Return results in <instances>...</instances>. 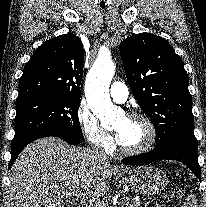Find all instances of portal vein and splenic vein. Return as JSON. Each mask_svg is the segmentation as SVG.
<instances>
[{
	"label": "portal vein and splenic vein",
	"mask_w": 206,
	"mask_h": 207,
	"mask_svg": "<svg viewBox=\"0 0 206 207\" xmlns=\"http://www.w3.org/2000/svg\"><path fill=\"white\" fill-rule=\"evenodd\" d=\"M64 194H65L66 197H71L74 200H79L81 202L84 200V197L82 196V193L79 192V190L66 191V192H64ZM128 201H129L128 198H125V199L122 200L123 204L127 203Z\"/></svg>",
	"instance_id": "obj_1"
}]
</instances>
